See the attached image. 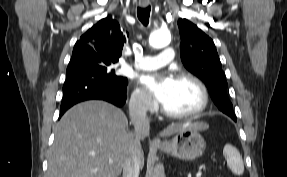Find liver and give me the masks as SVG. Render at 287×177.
Wrapping results in <instances>:
<instances>
[{
    "label": "liver",
    "instance_id": "liver-1",
    "mask_svg": "<svg viewBox=\"0 0 287 177\" xmlns=\"http://www.w3.org/2000/svg\"><path fill=\"white\" fill-rule=\"evenodd\" d=\"M127 124L123 111L109 103L94 100L75 105L55 127L46 177H118L135 144V133L126 131ZM189 127L206 130L209 125L173 123L160 135L170 136Z\"/></svg>",
    "mask_w": 287,
    "mask_h": 177
}]
</instances>
